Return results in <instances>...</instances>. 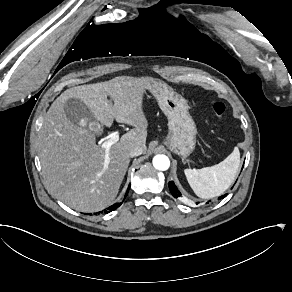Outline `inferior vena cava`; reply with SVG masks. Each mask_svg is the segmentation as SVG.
<instances>
[{
	"mask_svg": "<svg viewBox=\"0 0 292 292\" xmlns=\"http://www.w3.org/2000/svg\"><path fill=\"white\" fill-rule=\"evenodd\" d=\"M143 153V148L142 147H134L132 148L130 152V157H136L139 156Z\"/></svg>",
	"mask_w": 292,
	"mask_h": 292,
	"instance_id": "obj_1",
	"label": "inferior vena cava"
}]
</instances>
